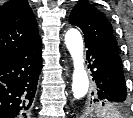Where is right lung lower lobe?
Masks as SVG:
<instances>
[{"mask_svg":"<svg viewBox=\"0 0 133 118\" xmlns=\"http://www.w3.org/2000/svg\"><path fill=\"white\" fill-rule=\"evenodd\" d=\"M41 66V41L0 61V118L27 117Z\"/></svg>","mask_w":133,"mask_h":118,"instance_id":"98d812e1","label":"right lung lower lobe"}]
</instances>
